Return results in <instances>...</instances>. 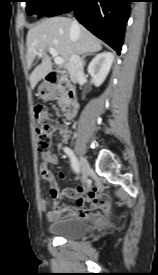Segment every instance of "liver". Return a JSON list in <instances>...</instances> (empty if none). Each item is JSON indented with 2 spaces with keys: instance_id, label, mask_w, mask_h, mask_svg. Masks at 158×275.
<instances>
[{
  "instance_id": "1",
  "label": "liver",
  "mask_w": 158,
  "mask_h": 275,
  "mask_svg": "<svg viewBox=\"0 0 158 275\" xmlns=\"http://www.w3.org/2000/svg\"><path fill=\"white\" fill-rule=\"evenodd\" d=\"M27 64L31 68L39 51H42V62L33 70L30 76L31 87L52 70V62L47 54L48 48L53 47L63 58L67 68L73 53L84 54L98 52L102 49L101 42L85 27L78 24L72 27V20L67 17L47 18L32 27L27 34Z\"/></svg>"
}]
</instances>
